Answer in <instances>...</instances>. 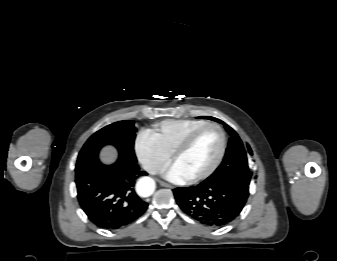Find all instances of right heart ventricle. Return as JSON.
Instances as JSON below:
<instances>
[{"mask_svg":"<svg viewBox=\"0 0 337 261\" xmlns=\"http://www.w3.org/2000/svg\"><path fill=\"white\" fill-rule=\"evenodd\" d=\"M204 123L206 122L198 119H169L155 124L149 132L164 150L172 154L190 131Z\"/></svg>","mask_w":337,"mask_h":261,"instance_id":"right-heart-ventricle-1","label":"right heart ventricle"}]
</instances>
